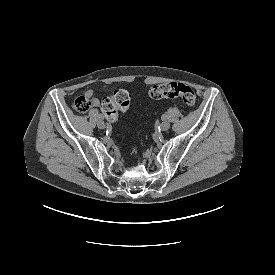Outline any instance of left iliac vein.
I'll use <instances>...</instances> for the list:
<instances>
[{
	"mask_svg": "<svg viewBox=\"0 0 275 275\" xmlns=\"http://www.w3.org/2000/svg\"><path fill=\"white\" fill-rule=\"evenodd\" d=\"M170 128V123L166 120H164L162 123H161V129L163 131H166Z\"/></svg>",
	"mask_w": 275,
	"mask_h": 275,
	"instance_id": "left-iliac-vein-1",
	"label": "left iliac vein"
}]
</instances>
